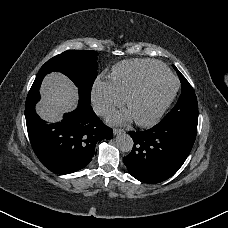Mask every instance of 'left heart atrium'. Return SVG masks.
Here are the masks:
<instances>
[{
    "mask_svg": "<svg viewBox=\"0 0 228 228\" xmlns=\"http://www.w3.org/2000/svg\"><path fill=\"white\" fill-rule=\"evenodd\" d=\"M131 119V113L130 112H123V113H115L113 115V120L117 123H123L125 121H128Z\"/></svg>",
    "mask_w": 228,
    "mask_h": 228,
    "instance_id": "obj_1",
    "label": "left heart atrium"
}]
</instances>
